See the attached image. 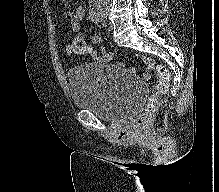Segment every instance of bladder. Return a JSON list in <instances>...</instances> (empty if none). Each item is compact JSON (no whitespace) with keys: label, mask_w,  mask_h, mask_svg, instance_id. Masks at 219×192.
Returning a JSON list of instances; mask_svg holds the SVG:
<instances>
[{"label":"bladder","mask_w":219,"mask_h":192,"mask_svg":"<svg viewBox=\"0 0 219 192\" xmlns=\"http://www.w3.org/2000/svg\"><path fill=\"white\" fill-rule=\"evenodd\" d=\"M72 101L107 122L132 119L142 105L144 91L126 69L113 63H87L67 73Z\"/></svg>","instance_id":"bladder-1"}]
</instances>
